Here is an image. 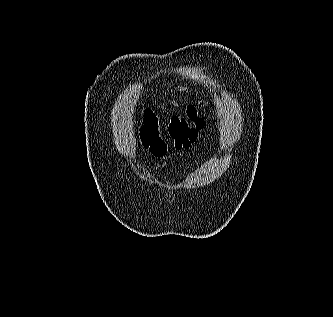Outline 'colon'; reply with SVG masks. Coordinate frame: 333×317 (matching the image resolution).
Wrapping results in <instances>:
<instances>
[{
	"label": "colon",
	"mask_w": 333,
	"mask_h": 317,
	"mask_svg": "<svg viewBox=\"0 0 333 317\" xmlns=\"http://www.w3.org/2000/svg\"><path fill=\"white\" fill-rule=\"evenodd\" d=\"M202 103L190 104L183 114L170 119L167 127L168 137L176 149L187 148L195 142L198 132L205 125L200 111ZM143 146L155 156L166 154L168 145L160 132L158 118L150 109L143 111V125L140 131Z\"/></svg>",
	"instance_id": "1"
}]
</instances>
